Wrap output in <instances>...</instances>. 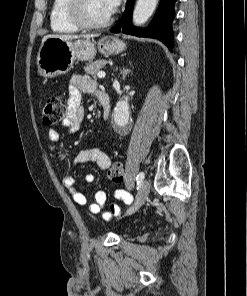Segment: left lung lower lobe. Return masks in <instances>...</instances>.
<instances>
[{
    "mask_svg": "<svg viewBox=\"0 0 247 296\" xmlns=\"http://www.w3.org/2000/svg\"><path fill=\"white\" fill-rule=\"evenodd\" d=\"M177 0H160L158 9L150 25L145 29L132 27V12L135 0H127L126 9L122 19L113 28L111 32L123 33L138 36L150 37L162 41L171 51L174 45V34L172 30V21L175 16L174 3Z\"/></svg>",
    "mask_w": 247,
    "mask_h": 296,
    "instance_id": "obj_1",
    "label": "left lung lower lobe"
}]
</instances>
